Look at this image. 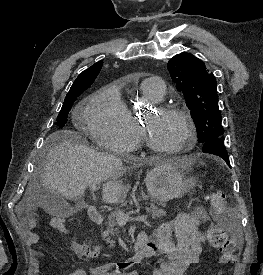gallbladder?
Segmentation results:
<instances>
[{
  "label": "gallbladder",
  "instance_id": "1",
  "mask_svg": "<svg viewBox=\"0 0 263 275\" xmlns=\"http://www.w3.org/2000/svg\"><path fill=\"white\" fill-rule=\"evenodd\" d=\"M39 204L51 216L66 218L74 212L71 205L56 191L43 190L39 196Z\"/></svg>",
  "mask_w": 263,
  "mask_h": 275
}]
</instances>
